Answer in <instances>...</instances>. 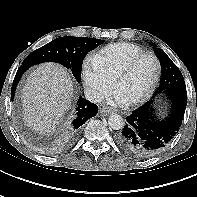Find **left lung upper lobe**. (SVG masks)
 <instances>
[{"label":"left lung upper lobe","mask_w":197,"mask_h":197,"mask_svg":"<svg viewBox=\"0 0 197 197\" xmlns=\"http://www.w3.org/2000/svg\"><path fill=\"white\" fill-rule=\"evenodd\" d=\"M154 52L161 63V81L152 98L160 93L168 94L175 88H186L182 73L166 53L160 48H155Z\"/></svg>","instance_id":"left-lung-upper-lobe-1"}]
</instances>
